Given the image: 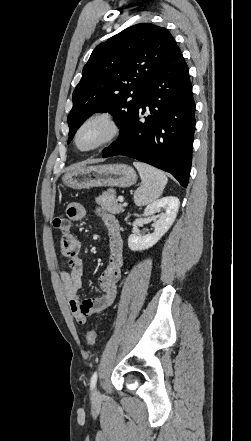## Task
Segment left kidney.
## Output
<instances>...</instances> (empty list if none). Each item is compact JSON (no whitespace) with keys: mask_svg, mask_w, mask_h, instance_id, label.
Returning <instances> with one entry per match:
<instances>
[{"mask_svg":"<svg viewBox=\"0 0 251 441\" xmlns=\"http://www.w3.org/2000/svg\"><path fill=\"white\" fill-rule=\"evenodd\" d=\"M179 206V199L174 196H167L149 204L144 210V216L153 220L154 232L144 236L131 234L128 238L129 248L132 251H142L155 245L174 223ZM160 210L165 212L155 216Z\"/></svg>","mask_w":251,"mask_h":441,"instance_id":"obj_1","label":"left kidney"}]
</instances>
